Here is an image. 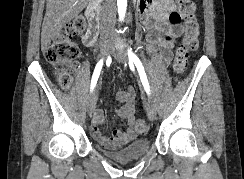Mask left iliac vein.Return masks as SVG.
Returning <instances> with one entry per match:
<instances>
[{"mask_svg": "<svg viewBox=\"0 0 244 179\" xmlns=\"http://www.w3.org/2000/svg\"><path fill=\"white\" fill-rule=\"evenodd\" d=\"M111 48L115 49L114 57L118 62H120L122 64L127 62V60H128L127 53L123 50L122 47L116 48L114 46H111ZM146 111H147V115H148L149 119L154 121L156 119L157 110H156L154 102L150 98L146 102Z\"/></svg>", "mask_w": 244, "mask_h": 179, "instance_id": "4c4485c4", "label": "left iliac vein"}]
</instances>
